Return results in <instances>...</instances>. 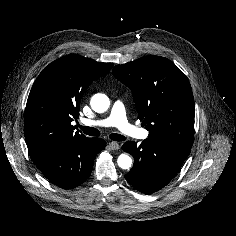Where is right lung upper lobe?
I'll return each instance as SVG.
<instances>
[{
	"mask_svg": "<svg viewBox=\"0 0 236 236\" xmlns=\"http://www.w3.org/2000/svg\"><path fill=\"white\" fill-rule=\"evenodd\" d=\"M113 64L78 55L63 56L46 66L30 91L25 109V140L32 160L87 140L71 122L78 117L84 91Z\"/></svg>",
	"mask_w": 236,
	"mask_h": 236,
	"instance_id": "cb5924a9",
	"label": "right lung upper lobe"
}]
</instances>
